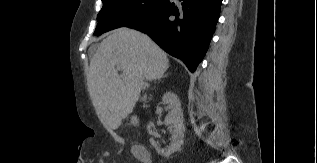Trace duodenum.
Listing matches in <instances>:
<instances>
[{"label":"duodenum","mask_w":317,"mask_h":163,"mask_svg":"<svg viewBox=\"0 0 317 163\" xmlns=\"http://www.w3.org/2000/svg\"><path fill=\"white\" fill-rule=\"evenodd\" d=\"M134 122H137V120L135 119ZM136 148L141 154H145L147 152V150L143 146L138 145L136 146Z\"/></svg>","instance_id":"obj_1"}]
</instances>
